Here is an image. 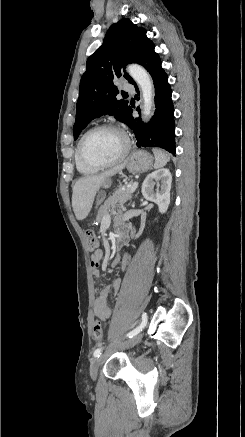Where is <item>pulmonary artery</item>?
I'll return each instance as SVG.
<instances>
[{"mask_svg":"<svg viewBox=\"0 0 245 437\" xmlns=\"http://www.w3.org/2000/svg\"><path fill=\"white\" fill-rule=\"evenodd\" d=\"M123 90L124 91H128V92H133L134 91V87L129 84V83H124L123 84Z\"/></svg>","mask_w":245,"mask_h":437,"instance_id":"1","label":"pulmonary artery"}]
</instances>
